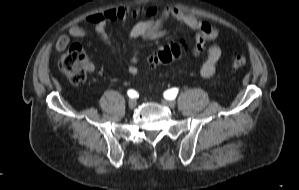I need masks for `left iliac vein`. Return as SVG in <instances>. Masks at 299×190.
Instances as JSON below:
<instances>
[{
    "label": "left iliac vein",
    "instance_id": "1",
    "mask_svg": "<svg viewBox=\"0 0 299 190\" xmlns=\"http://www.w3.org/2000/svg\"><path fill=\"white\" fill-rule=\"evenodd\" d=\"M162 104L169 108H174L176 106V102L173 100H164V101H162Z\"/></svg>",
    "mask_w": 299,
    "mask_h": 190
}]
</instances>
